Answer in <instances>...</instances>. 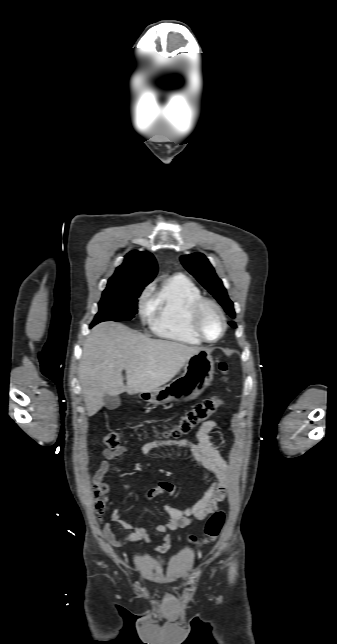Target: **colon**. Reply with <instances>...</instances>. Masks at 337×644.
Instances as JSON below:
<instances>
[{
    "instance_id": "5ec220e1",
    "label": "colon",
    "mask_w": 337,
    "mask_h": 644,
    "mask_svg": "<svg viewBox=\"0 0 337 644\" xmlns=\"http://www.w3.org/2000/svg\"><path fill=\"white\" fill-rule=\"evenodd\" d=\"M221 373L226 378L229 373V366L227 363L222 362L219 364ZM222 401L218 397H211L198 404L192 410L187 412L180 420L174 424L170 429L164 432L165 437L179 438L187 435L198 425L206 422L210 416L217 411L221 406ZM104 444L108 449H115L120 445V434L118 431L109 432L104 438ZM107 487L104 483H96L94 485V493L98 498L96 505L99 514H103L105 510V502L102 497L105 495ZM225 521L224 511H215L207 520L204 526V537L201 543L207 544L216 540ZM190 540L195 542L196 538L190 536Z\"/></svg>"
}]
</instances>
